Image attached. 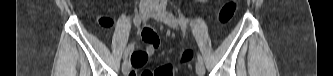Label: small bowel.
I'll return each mask as SVG.
<instances>
[{
	"label": "small bowel",
	"instance_id": "obj_1",
	"mask_svg": "<svg viewBox=\"0 0 333 76\" xmlns=\"http://www.w3.org/2000/svg\"><path fill=\"white\" fill-rule=\"evenodd\" d=\"M100 23L106 28H111L114 25V19L102 17ZM141 38L148 46L145 52L137 51L132 54L131 61L135 69L142 68L146 64L148 57L154 54L158 47L157 42L160 41V33L154 32L152 29L148 28L141 33ZM146 71L147 70H143L142 73Z\"/></svg>",
	"mask_w": 333,
	"mask_h": 76
}]
</instances>
